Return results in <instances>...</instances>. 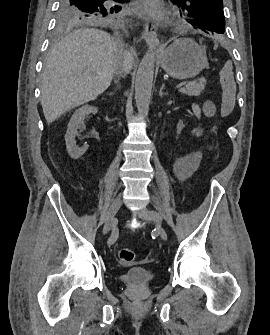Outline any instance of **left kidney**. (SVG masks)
<instances>
[{
  "instance_id": "1",
  "label": "left kidney",
  "mask_w": 270,
  "mask_h": 335,
  "mask_svg": "<svg viewBox=\"0 0 270 335\" xmlns=\"http://www.w3.org/2000/svg\"><path fill=\"white\" fill-rule=\"evenodd\" d=\"M192 110L195 116H197V118H200L201 108H199L197 104H192ZM202 132L203 130H201V128H196V130H192V134H194V136H202Z\"/></svg>"
}]
</instances>
